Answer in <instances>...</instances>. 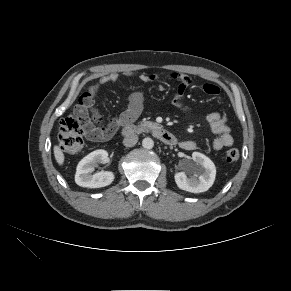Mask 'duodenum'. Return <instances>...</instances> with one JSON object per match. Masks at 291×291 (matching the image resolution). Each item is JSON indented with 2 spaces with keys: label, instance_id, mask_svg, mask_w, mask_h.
<instances>
[{
  "label": "duodenum",
  "instance_id": "1",
  "mask_svg": "<svg viewBox=\"0 0 291 291\" xmlns=\"http://www.w3.org/2000/svg\"><path fill=\"white\" fill-rule=\"evenodd\" d=\"M150 132L153 136L159 139L161 142L167 145H174L176 143L175 136L168 130L160 126H137L133 124H126L122 129V134L125 136H131L139 133Z\"/></svg>",
  "mask_w": 291,
  "mask_h": 291
}]
</instances>
